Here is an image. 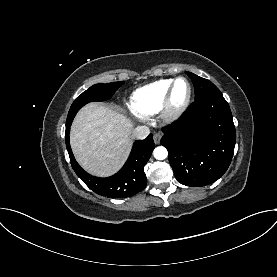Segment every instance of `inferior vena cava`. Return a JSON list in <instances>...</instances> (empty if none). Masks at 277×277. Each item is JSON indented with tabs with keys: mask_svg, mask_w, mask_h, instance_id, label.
<instances>
[{
	"mask_svg": "<svg viewBox=\"0 0 277 277\" xmlns=\"http://www.w3.org/2000/svg\"><path fill=\"white\" fill-rule=\"evenodd\" d=\"M149 134L150 129L147 126H138L132 132L133 137L139 140L145 139Z\"/></svg>",
	"mask_w": 277,
	"mask_h": 277,
	"instance_id": "inferior-vena-cava-1",
	"label": "inferior vena cava"
}]
</instances>
